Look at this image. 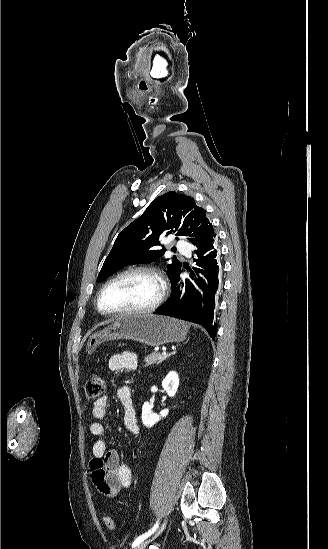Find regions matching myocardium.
Returning a JSON list of instances; mask_svg holds the SVG:
<instances>
[{
	"label": "myocardium",
	"instance_id": "myocardium-1",
	"mask_svg": "<svg viewBox=\"0 0 328 549\" xmlns=\"http://www.w3.org/2000/svg\"><path fill=\"white\" fill-rule=\"evenodd\" d=\"M159 268H161L159 265H156L153 263H147V262L132 263L123 267L112 278H110L101 288L97 297L98 312L106 317L115 318V319L125 318L130 316L148 315L156 312L160 307L161 303L163 302L167 293V283L164 277L162 276V274L159 272L158 270ZM134 271L145 272L151 275L158 282L159 291L156 298L148 305L139 307V308H133V309L123 310V311H113L111 309L106 308L103 305V297L106 290L119 278H121L127 273L134 272Z\"/></svg>",
	"mask_w": 328,
	"mask_h": 549
}]
</instances>
